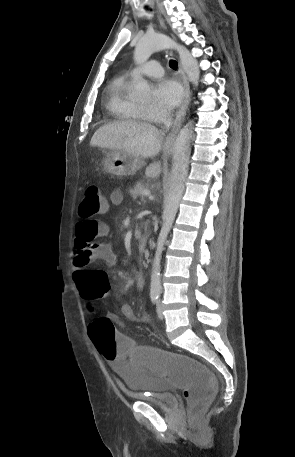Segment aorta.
Wrapping results in <instances>:
<instances>
[{
  "label": "aorta",
  "mask_w": 295,
  "mask_h": 457,
  "mask_svg": "<svg viewBox=\"0 0 295 457\" xmlns=\"http://www.w3.org/2000/svg\"><path fill=\"white\" fill-rule=\"evenodd\" d=\"M166 48H173L177 50L181 66L187 74L189 81L194 86H198L200 78L198 61L192 56L186 47L174 42L164 34L154 33L142 37L135 46L134 61L139 65L143 64L154 52ZM134 95L138 98L149 97L150 86L145 79L141 78L135 83ZM193 129V121H189L180 130L173 147V165L169 178L168 194L163 211V224L157 240V247L151 273L150 292L152 294H160L161 292L160 270L162 252L185 190Z\"/></svg>",
  "instance_id": "aorta-1"
}]
</instances>
